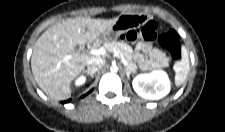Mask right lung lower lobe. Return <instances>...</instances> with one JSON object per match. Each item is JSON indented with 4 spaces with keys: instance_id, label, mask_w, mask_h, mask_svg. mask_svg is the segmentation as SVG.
I'll list each match as a JSON object with an SVG mask.
<instances>
[{
    "instance_id": "right-lung-lower-lobe-1",
    "label": "right lung lower lobe",
    "mask_w": 225,
    "mask_h": 132,
    "mask_svg": "<svg viewBox=\"0 0 225 132\" xmlns=\"http://www.w3.org/2000/svg\"><path fill=\"white\" fill-rule=\"evenodd\" d=\"M69 102V100L65 101V103Z\"/></svg>"
}]
</instances>
